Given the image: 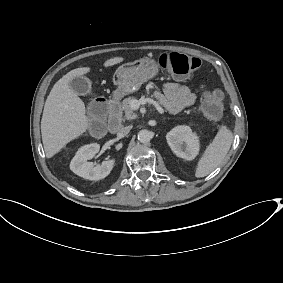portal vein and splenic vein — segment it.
Wrapping results in <instances>:
<instances>
[{
	"mask_svg": "<svg viewBox=\"0 0 283 283\" xmlns=\"http://www.w3.org/2000/svg\"><path fill=\"white\" fill-rule=\"evenodd\" d=\"M143 103H144V101H140V100L131 101L130 110L131 111H137Z\"/></svg>",
	"mask_w": 283,
	"mask_h": 283,
	"instance_id": "obj_1",
	"label": "portal vein and splenic vein"
}]
</instances>
